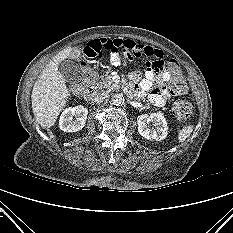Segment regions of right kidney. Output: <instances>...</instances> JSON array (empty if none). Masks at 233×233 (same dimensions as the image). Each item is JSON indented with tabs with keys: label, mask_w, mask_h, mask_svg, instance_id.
Listing matches in <instances>:
<instances>
[{
	"label": "right kidney",
	"mask_w": 233,
	"mask_h": 233,
	"mask_svg": "<svg viewBox=\"0 0 233 233\" xmlns=\"http://www.w3.org/2000/svg\"><path fill=\"white\" fill-rule=\"evenodd\" d=\"M87 115L88 110L84 106L78 105L73 108H66L59 119L60 129L65 132L81 130L85 126Z\"/></svg>",
	"instance_id": "right-kidney-1"
}]
</instances>
